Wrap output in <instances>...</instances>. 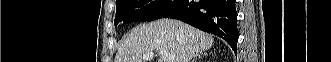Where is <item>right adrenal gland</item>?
I'll return each instance as SVG.
<instances>
[{
	"mask_svg": "<svg viewBox=\"0 0 331 62\" xmlns=\"http://www.w3.org/2000/svg\"><path fill=\"white\" fill-rule=\"evenodd\" d=\"M206 55H207V53H204V54L202 53L201 55L194 57L192 62H195L197 59L201 58L202 56H206Z\"/></svg>",
	"mask_w": 331,
	"mask_h": 62,
	"instance_id": "1",
	"label": "right adrenal gland"
}]
</instances>
